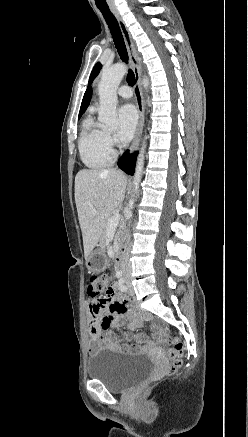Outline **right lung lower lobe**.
<instances>
[{
  "label": "right lung lower lobe",
  "mask_w": 248,
  "mask_h": 437,
  "mask_svg": "<svg viewBox=\"0 0 248 437\" xmlns=\"http://www.w3.org/2000/svg\"><path fill=\"white\" fill-rule=\"evenodd\" d=\"M137 152L129 155L128 151L119 159L118 166L127 174L133 175L135 171V163Z\"/></svg>",
  "instance_id": "1"
}]
</instances>
